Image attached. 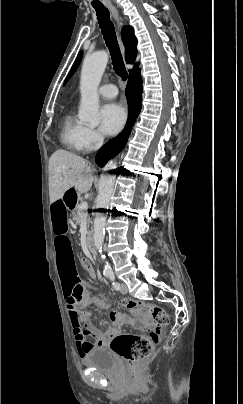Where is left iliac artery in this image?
<instances>
[{"mask_svg":"<svg viewBox=\"0 0 243 404\" xmlns=\"http://www.w3.org/2000/svg\"><path fill=\"white\" fill-rule=\"evenodd\" d=\"M106 276H107V277L109 278V280L112 282L113 288L118 291V290L120 289V284L115 281V276H114V274H113L112 272H109Z\"/></svg>","mask_w":243,"mask_h":404,"instance_id":"1","label":"left iliac artery"}]
</instances>
